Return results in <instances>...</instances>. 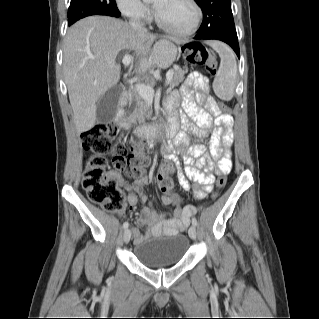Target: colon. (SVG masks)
Here are the masks:
<instances>
[{
  "instance_id": "5ec220e1",
  "label": "colon",
  "mask_w": 319,
  "mask_h": 319,
  "mask_svg": "<svg viewBox=\"0 0 319 319\" xmlns=\"http://www.w3.org/2000/svg\"><path fill=\"white\" fill-rule=\"evenodd\" d=\"M182 54L189 63L206 65L210 73L215 75L216 61L203 46L185 44L182 47ZM227 110L228 107L219 101H213L210 105V111L213 114ZM116 135L115 125L111 122H104L93 127L82 138L84 148L93 153L85 165L83 187L89 199L109 213H122L126 203L123 192L107 168L104 155L112 154L115 170L125 171L132 175H146L150 165L149 158L145 157L140 150L129 149L122 142H115ZM159 185L163 190H168L171 187V181L168 178L160 177ZM216 185L218 189H223L226 185V178L220 177Z\"/></svg>"
}]
</instances>
